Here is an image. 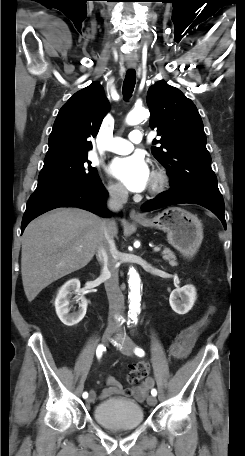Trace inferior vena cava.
<instances>
[{
    "mask_svg": "<svg viewBox=\"0 0 245 456\" xmlns=\"http://www.w3.org/2000/svg\"><path fill=\"white\" fill-rule=\"evenodd\" d=\"M108 208L113 212H118L128 200V191L122 185L109 187ZM114 221L103 219L99 232L96 257L102 264L101 275L105 278V289L109 300L110 327L119 328L118 318L124 310V296L119 288L118 280V259L117 249L112 235V225Z\"/></svg>",
    "mask_w": 245,
    "mask_h": 456,
    "instance_id": "602c4592",
    "label": "inferior vena cava"
}]
</instances>
